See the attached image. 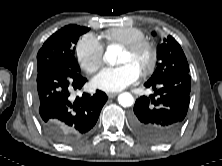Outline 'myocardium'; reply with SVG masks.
I'll return each mask as SVG.
<instances>
[{
	"mask_svg": "<svg viewBox=\"0 0 222 166\" xmlns=\"http://www.w3.org/2000/svg\"><path fill=\"white\" fill-rule=\"evenodd\" d=\"M124 49L131 55H137L141 52H146L148 54V62L140 70L141 74L146 75L155 68L157 62V50L152 43L144 40L128 46H124Z\"/></svg>",
	"mask_w": 222,
	"mask_h": 166,
	"instance_id": "obj_1",
	"label": "myocardium"
}]
</instances>
